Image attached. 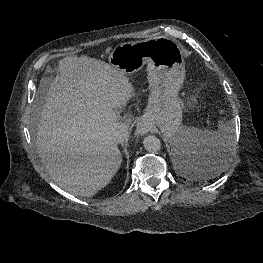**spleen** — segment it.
Segmentation results:
<instances>
[{"label": "spleen", "mask_w": 263, "mask_h": 263, "mask_svg": "<svg viewBox=\"0 0 263 263\" xmlns=\"http://www.w3.org/2000/svg\"><path fill=\"white\" fill-rule=\"evenodd\" d=\"M235 130L230 122H219L215 132L195 127L183 126L174 136L170 144L174 150L187 154H195L207 146H219L225 153L222 165L216 175L221 174L227 167L231 153L235 149Z\"/></svg>", "instance_id": "obj_1"}]
</instances>
